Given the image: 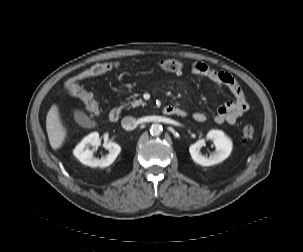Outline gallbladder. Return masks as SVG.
Wrapping results in <instances>:
<instances>
[{
  "mask_svg": "<svg viewBox=\"0 0 303 252\" xmlns=\"http://www.w3.org/2000/svg\"><path fill=\"white\" fill-rule=\"evenodd\" d=\"M74 120L82 127H86L91 123L89 117L81 110H73Z\"/></svg>",
  "mask_w": 303,
  "mask_h": 252,
  "instance_id": "obj_1",
  "label": "gallbladder"
}]
</instances>
